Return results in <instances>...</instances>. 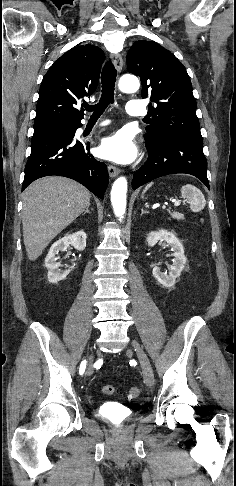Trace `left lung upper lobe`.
Segmentation results:
<instances>
[{"label":"left lung upper lobe","instance_id":"obj_1","mask_svg":"<svg viewBox=\"0 0 236 486\" xmlns=\"http://www.w3.org/2000/svg\"><path fill=\"white\" fill-rule=\"evenodd\" d=\"M127 70L140 76L142 98L154 102L145 142L172 135L203 140L190 78L171 52L156 42L136 41L127 53Z\"/></svg>","mask_w":236,"mask_h":486}]
</instances>
